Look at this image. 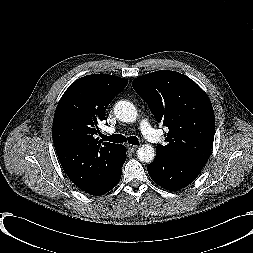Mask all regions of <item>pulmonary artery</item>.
Masks as SVG:
<instances>
[{"label":"pulmonary artery","instance_id":"e3ab8cb5","mask_svg":"<svg viewBox=\"0 0 253 253\" xmlns=\"http://www.w3.org/2000/svg\"><path fill=\"white\" fill-rule=\"evenodd\" d=\"M140 129L143 134V136L151 143L159 144L164 143V137L158 133L156 130H154L148 121L146 119H142L140 121ZM107 133H114L115 128L113 127H107L106 128Z\"/></svg>","mask_w":253,"mask_h":253}]
</instances>
